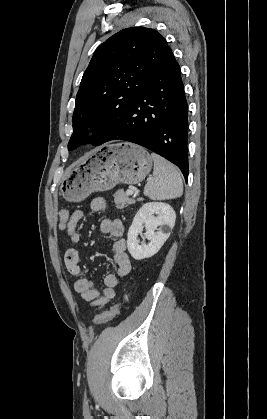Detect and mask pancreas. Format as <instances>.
Listing matches in <instances>:
<instances>
[{
  "label": "pancreas",
  "mask_w": 267,
  "mask_h": 419,
  "mask_svg": "<svg viewBox=\"0 0 267 419\" xmlns=\"http://www.w3.org/2000/svg\"><path fill=\"white\" fill-rule=\"evenodd\" d=\"M114 202L117 209H123L130 204H134L136 201L128 198V195L123 190H118L114 195Z\"/></svg>",
  "instance_id": "obj_1"
}]
</instances>
